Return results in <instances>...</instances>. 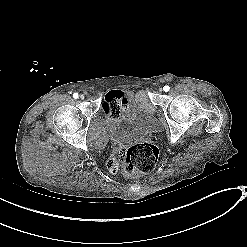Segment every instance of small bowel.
Listing matches in <instances>:
<instances>
[{
    "mask_svg": "<svg viewBox=\"0 0 247 247\" xmlns=\"http://www.w3.org/2000/svg\"><path fill=\"white\" fill-rule=\"evenodd\" d=\"M127 105V98L124 94L120 92H112L105 96L104 98V108L103 115L108 120L117 119L121 110ZM138 113L136 110H132L130 118L135 119ZM130 130V125L126 122H122L119 125V130H115L112 133V140L115 143H122L125 140V133ZM115 151H125V145H116ZM106 168L109 171L115 172L118 169L117 164H115V157L113 155H108L106 157Z\"/></svg>",
    "mask_w": 247,
    "mask_h": 247,
    "instance_id": "1",
    "label": "small bowel"
}]
</instances>
